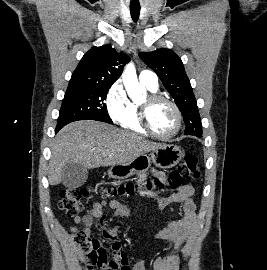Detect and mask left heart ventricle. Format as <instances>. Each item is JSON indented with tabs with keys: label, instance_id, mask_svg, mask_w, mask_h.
Segmentation results:
<instances>
[{
	"label": "left heart ventricle",
	"instance_id": "b2bd125f",
	"mask_svg": "<svg viewBox=\"0 0 267 270\" xmlns=\"http://www.w3.org/2000/svg\"><path fill=\"white\" fill-rule=\"evenodd\" d=\"M149 119L152 127L159 134L170 135L176 128L177 119L175 112L165 102H158L150 108Z\"/></svg>",
	"mask_w": 267,
	"mask_h": 270
}]
</instances>
